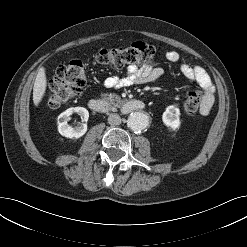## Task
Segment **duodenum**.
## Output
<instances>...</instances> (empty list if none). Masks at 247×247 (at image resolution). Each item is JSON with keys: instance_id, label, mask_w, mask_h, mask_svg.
<instances>
[{"instance_id": "410a0bca", "label": "duodenum", "mask_w": 247, "mask_h": 247, "mask_svg": "<svg viewBox=\"0 0 247 247\" xmlns=\"http://www.w3.org/2000/svg\"><path fill=\"white\" fill-rule=\"evenodd\" d=\"M90 107L100 113H110L113 111L114 107L112 104L105 99L93 98L89 101ZM144 103L138 99H128L120 107L122 113L128 114L135 111H140L144 109Z\"/></svg>"}]
</instances>
